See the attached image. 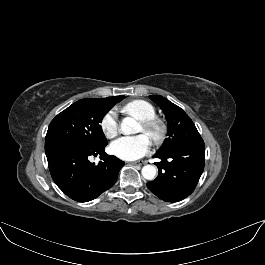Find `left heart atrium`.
I'll list each match as a JSON object with an SVG mask.
<instances>
[{"instance_id": "left-heart-atrium-1", "label": "left heart atrium", "mask_w": 265, "mask_h": 265, "mask_svg": "<svg viewBox=\"0 0 265 265\" xmlns=\"http://www.w3.org/2000/svg\"><path fill=\"white\" fill-rule=\"evenodd\" d=\"M151 142L147 135L123 136L111 144V151L123 160H136L146 155Z\"/></svg>"}]
</instances>
